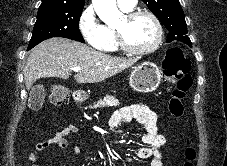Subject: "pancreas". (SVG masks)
<instances>
[{"label": "pancreas", "instance_id": "obj_1", "mask_svg": "<svg viewBox=\"0 0 227 166\" xmlns=\"http://www.w3.org/2000/svg\"><path fill=\"white\" fill-rule=\"evenodd\" d=\"M119 104H120L119 101L115 97L106 95L104 97V99H100L98 102L89 106V108L96 109V108L103 107V106H115L116 107V106H119Z\"/></svg>", "mask_w": 227, "mask_h": 166}]
</instances>
